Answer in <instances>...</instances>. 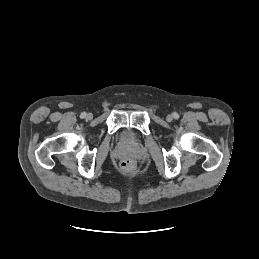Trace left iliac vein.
I'll use <instances>...</instances> for the list:
<instances>
[{
    "instance_id": "1",
    "label": "left iliac vein",
    "mask_w": 259,
    "mask_h": 259,
    "mask_svg": "<svg viewBox=\"0 0 259 259\" xmlns=\"http://www.w3.org/2000/svg\"><path fill=\"white\" fill-rule=\"evenodd\" d=\"M172 119H173V116H172V115H167L166 120H167L168 122L172 121Z\"/></svg>"
}]
</instances>
